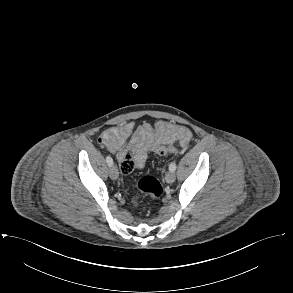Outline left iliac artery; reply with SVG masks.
Wrapping results in <instances>:
<instances>
[{
	"label": "left iliac artery",
	"mask_w": 293,
	"mask_h": 293,
	"mask_svg": "<svg viewBox=\"0 0 293 293\" xmlns=\"http://www.w3.org/2000/svg\"><path fill=\"white\" fill-rule=\"evenodd\" d=\"M169 170L172 172H174L176 170V163L175 162L170 163Z\"/></svg>",
	"instance_id": "44dca946"
}]
</instances>
